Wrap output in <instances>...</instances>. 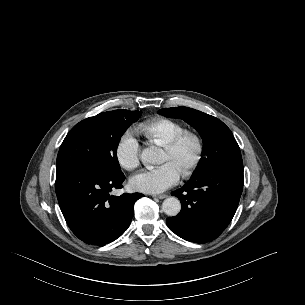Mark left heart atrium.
Segmentation results:
<instances>
[{
  "label": "left heart atrium",
  "mask_w": 305,
  "mask_h": 305,
  "mask_svg": "<svg viewBox=\"0 0 305 305\" xmlns=\"http://www.w3.org/2000/svg\"><path fill=\"white\" fill-rule=\"evenodd\" d=\"M182 172L172 163H165L160 167L144 170L130 179L131 187L144 193H161L176 185Z\"/></svg>",
  "instance_id": "left-heart-atrium-1"
}]
</instances>
